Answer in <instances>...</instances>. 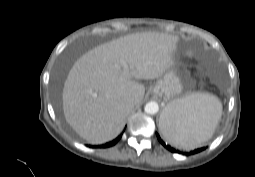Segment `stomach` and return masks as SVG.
Listing matches in <instances>:
<instances>
[{
    "label": "stomach",
    "mask_w": 255,
    "mask_h": 177,
    "mask_svg": "<svg viewBox=\"0 0 255 177\" xmlns=\"http://www.w3.org/2000/svg\"><path fill=\"white\" fill-rule=\"evenodd\" d=\"M182 91L183 85L177 73L173 69L166 71L152 87V94L154 96L163 98L165 101H169L160 117V129L162 125V116L168 113L169 104L177 100L181 96Z\"/></svg>",
    "instance_id": "0dacf381"
}]
</instances>
